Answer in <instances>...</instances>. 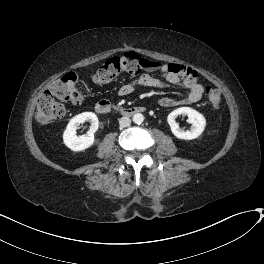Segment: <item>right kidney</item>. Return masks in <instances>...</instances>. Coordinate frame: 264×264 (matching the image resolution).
<instances>
[{
	"label": "right kidney",
	"mask_w": 264,
	"mask_h": 264,
	"mask_svg": "<svg viewBox=\"0 0 264 264\" xmlns=\"http://www.w3.org/2000/svg\"><path fill=\"white\" fill-rule=\"evenodd\" d=\"M85 121L91 122L90 130L87 134L77 136L76 130L79 128L80 124ZM98 127L99 120L95 113L83 112L78 114L70 120L63 133L64 144L72 151L85 150L93 145L94 133L97 131Z\"/></svg>",
	"instance_id": "right-kidney-1"
}]
</instances>
